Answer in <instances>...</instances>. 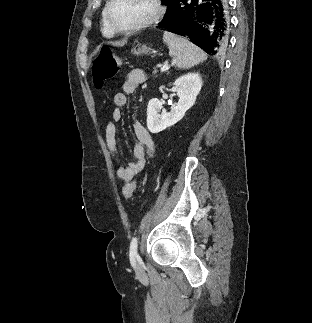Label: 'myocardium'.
Segmentation results:
<instances>
[{
    "mask_svg": "<svg viewBox=\"0 0 312 323\" xmlns=\"http://www.w3.org/2000/svg\"><path fill=\"white\" fill-rule=\"evenodd\" d=\"M162 0H149L153 5L150 19L152 23L155 21H163L167 9L166 3H161ZM123 0H110L107 3V10H105V19L110 25V31H145V25L149 24L148 18H140L139 20H119L114 13H117L118 8Z\"/></svg>",
    "mask_w": 312,
    "mask_h": 323,
    "instance_id": "f54148a6",
    "label": "myocardium"
}]
</instances>
